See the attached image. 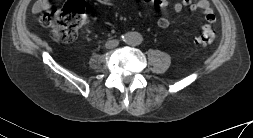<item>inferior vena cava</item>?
Returning a JSON list of instances; mask_svg holds the SVG:
<instances>
[{
    "instance_id": "inferior-vena-cava-1",
    "label": "inferior vena cava",
    "mask_w": 253,
    "mask_h": 138,
    "mask_svg": "<svg viewBox=\"0 0 253 138\" xmlns=\"http://www.w3.org/2000/svg\"><path fill=\"white\" fill-rule=\"evenodd\" d=\"M119 44V41L118 40H109L106 42L105 46L106 48L108 49H112V48H115L117 47Z\"/></svg>"
}]
</instances>
